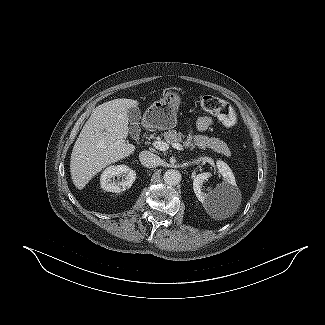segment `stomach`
<instances>
[{
	"label": "stomach",
	"mask_w": 325,
	"mask_h": 325,
	"mask_svg": "<svg viewBox=\"0 0 325 325\" xmlns=\"http://www.w3.org/2000/svg\"><path fill=\"white\" fill-rule=\"evenodd\" d=\"M181 103L178 93L168 91L160 100L154 101L144 114V122L149 127L161 130L171 129L177 124V110Z\"/></svg>",
	"instance_id": "1"
}]
</instances>
